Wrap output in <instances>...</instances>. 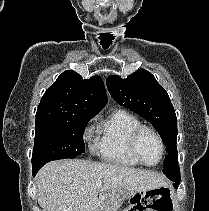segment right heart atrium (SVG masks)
<instances>
[{
    "instance_id": "right-heart-atrium-1",
    "label": "right heart atrium",
    "mask_w": 209,
    "mask_h": 211,
    "mask_svg": "<svg viewBox=\"0 0 209 211\" xmlns=\"http://www.w3.org/2000/svg\"><path fill=\"white\" fill-rule=\"evenodd\" d=\"M92 132H93L92 128L91 127H87L85 129V131H84V134H83L84 140H86V141L89 140L90 137L92 136Z\"/></svg>"
}]
</instances>
